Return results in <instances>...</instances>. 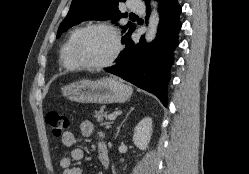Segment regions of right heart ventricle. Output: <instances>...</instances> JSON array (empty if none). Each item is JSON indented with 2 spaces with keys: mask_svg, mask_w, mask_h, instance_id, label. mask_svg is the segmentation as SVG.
Segmentation results:
<instances>
[{
  "mask_svg": "<svg viewBox=\"0 0 249 174\" xmlns=\"http://www.w3.org/2000/svg\"><path fill=\"white\" fill-rule=\"evenodd\" d=\"M84 29L83 26H79L75 28L69 35L67 41L65 42L63 48H62V64L66 69L69 70H77L80 67L78 66L74 56H73V45L78 37V35L81 33V31Z\"/></svg>",
  "mask_w": 249,
  "mask_h": 174,
  "instance_id": "e07e8e85",
  "label": "right heart ventricle"
}]
</instances>
